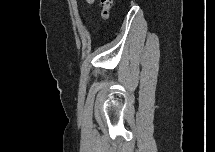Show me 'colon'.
<instances>
[{"label":"colon","instance_id":"obj_1","mask_svg":"<svg viewBox=\"0 0 215 152\" xmlns=\"http://www.w3.org/2000/svg\"><path fill=\"white\" fill-rule=\"evenodd\" d=\"M113 5V0H100V16L102 20H107L110 15V10Z\"/></svg>","mask_w":215,"mask_h":152}]
</instances>
